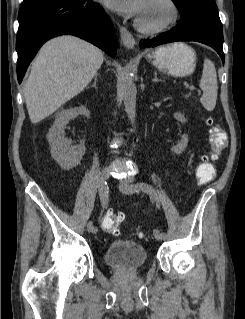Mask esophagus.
Returning <instances> with one entry per match:
<instances>
[{
  "label": "esophagus",
  "instance_id": "esophagus-1",
  "mask_svg": "<svg viewBox=\"0 0 245 319\" xmlns=\"http://www.w3.org/2000/svg\"><path fill=\"white\" fill-rule=\"evenodd\" d=\"M119 30L123 45L127 49H134L136 46V41L133 35L125 27H120Z\"/></svg>",
  "mask_w": 245,
  "mask_h": 319
}]
</instances>
